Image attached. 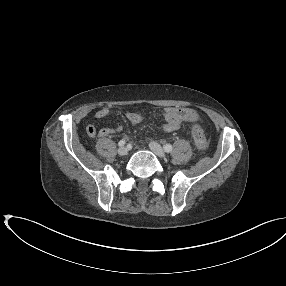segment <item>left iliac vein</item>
<instances>
[{
	"instance_id": "obj_1",
	"label": "left iliac vein",
	"mask_w": 286,
	"mask_h": 286,
	"mask_svg": "<svg viewBox=\"0 0 286 286\" xmlns=\"http://www.w3.org/2000/svg\"><path fill=\"white\" fill-rule=\"evenodd\" d=\"M149 147L158 157L160 158L165 157V152L163 148L157 142L154 141L150 142Z\"/></svg>"
}]
</instances>
